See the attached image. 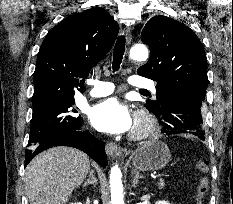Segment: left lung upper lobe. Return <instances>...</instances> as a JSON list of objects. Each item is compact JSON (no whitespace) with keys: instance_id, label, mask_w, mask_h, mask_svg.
Here are the masks:
<instances>
[{"instance_id":"obj_1","label":"left lung upper lobe","mask_w":233,"mask_h":204,"mask_svg":"<svg viewBox=\"0 0 233 204\" xmlns=\"http://www.w3.org/2000/svg\"><path fill=\"white\" fill-rule=\"evenodd\" d=\"M150 48L149 61L137 73L157 82L156 100H147L149 111L180 88L206 92L207 58L196 34L185 24L166 16L152 17L141 32Z\"/></svg>"}]
</instances>
